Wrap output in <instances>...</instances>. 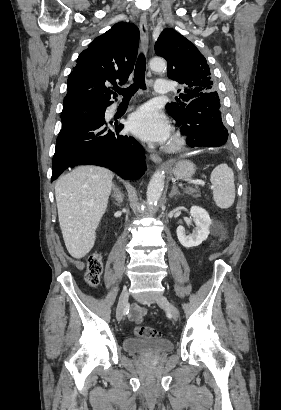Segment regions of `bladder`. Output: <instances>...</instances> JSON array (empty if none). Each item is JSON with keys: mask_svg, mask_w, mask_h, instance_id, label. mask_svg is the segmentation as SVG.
<instances>
[{"mask_svg": "<svg viewBox=\"0 0 281 410\" xmlns=\"http://www.w3.org/2000/svg\"><path fill=\"white\" fill-rule=\"evenodd\" d=\"M125 352L145 357H158L173 349L171 341L166 339L126 338L123 342Z\"/></svg>", "mask_w": 281, "mask_h": 410, "instance_id": "1", "label": "bladder"}]
</instances>
